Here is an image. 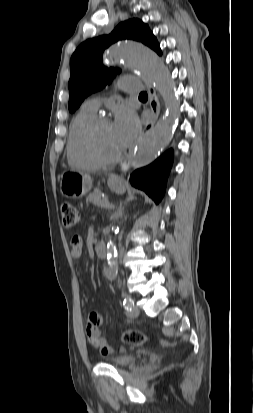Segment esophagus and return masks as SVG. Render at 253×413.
<instances>
[{"label": "esophagus", "instance_id": "esophagus-1", "mask_svg": "<svg viewBox=\"0 0 253 413\" xmlns=\"http://www.w3.org/2000/svg\"><path fill=\"white\" fill-rule=\"evenodd\" d=\"M147 89H148V94H149V106L151 110V119L148 123L145 124L142 134H144L147 131H150L153 128L160 113V103H159L155 89L149 83H147ZM132 154H133V149L130 150L129 157L122 163L121 170H126L130 166ZM112 177H116V176L113 175Z\"/></svg>", "mask_w": 253, "mask_h": 413}]
</instances>
